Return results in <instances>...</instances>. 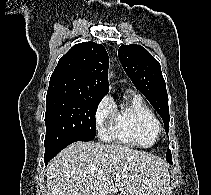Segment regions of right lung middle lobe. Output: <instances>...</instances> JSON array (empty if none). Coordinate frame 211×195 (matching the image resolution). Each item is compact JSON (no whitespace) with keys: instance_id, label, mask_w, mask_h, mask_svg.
I'll return each instance as SVG.
<instances>
[{"instance_id":"obj_1","label":"right lung middle lobe","mask_w":211,"mask_h":195,"mask_svg":"<svg viewBox=\"0 0 211 195\" xmlns=\"http://www.w3.org/2000/svg\"><path fill=\"white\" fill-rule=\"evenodd\" d=\"M100 101L65 94L47 95L45 150L68 141L93 140Z\"/></svg>"}]
</instances>
